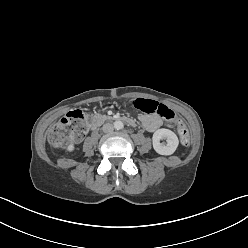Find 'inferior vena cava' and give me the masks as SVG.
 <instances>
[{"label": "inferior vena cava", "mask_w": 248, "mask_h": 248, "mask_svg": "<svg viewBox=\"0 0 248 248\" xmlns=\"http://www.w3.org/2000/svg\"><path fill=\"white\" fill-rule=\"evenodd\" d=\"M102 130H103V132H105V133H111V132H113L114 127H113L112 124L106 123V124L103 125Z\"/></svg>", "instance_id": "602c4592"}]
</instances>
